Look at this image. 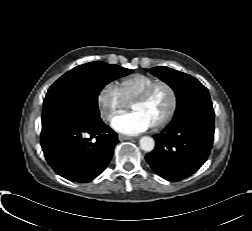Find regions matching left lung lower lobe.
I'll return each instance as SVG.
<instances>
[{"mask_svg":"<svg viewBox=\"0 0 252 231\" xmlns=\"http://www.w3.org/2000/svg\"><path fill=\"white\" fill-rule=\"evenodd\" d=\"M214 136L212 105H195L175 114L146 161L162 178L181 180L195 173L210 154Z\"/></svg>","mask_w":252,"mask_h":231,"instance_id":"1","label":"left lung lower lobe"}]
</instances>
